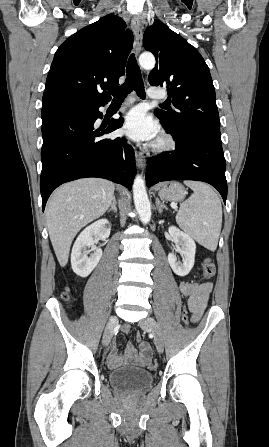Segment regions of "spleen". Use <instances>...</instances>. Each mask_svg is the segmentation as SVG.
Returning <instances> with one entry per match:
<instances>
[{"label":"spleen","instance_id":"1","mask_svg":"<svg viewBox=\"0 0 269 447\" xmlns=\"http://www.w3.org/2000/svg\"><path fill=\"white\" fill-rule=\"evenodd\" d=\"M194 194L183 202L176 222L200 245L215 251L222 225V206L216 192L204 182H184Z\"/></svg>","mask_w":269,"mask_h":447}]
</instances>
